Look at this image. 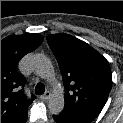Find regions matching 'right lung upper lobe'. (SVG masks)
I'll return each instance as SVG.
<instances>
[{
	"instance_id": "obj_1",
	"label": "right lung upper lobe",
	"mask_w": 123,
	"mask_h": 123,
	"mask_svg": "<svg viewBox=\"0 0 123 123\" xmlns=\"http://www.w3.org/2000/svg\"><path fill=\"white\" fill-rule=\"evenodd\" d=\"M37 33L10 35L1 41V123H26L33 100L24 92V79L17 71L19 60L42 43Z\"/></svg>"
}]
</instances>
